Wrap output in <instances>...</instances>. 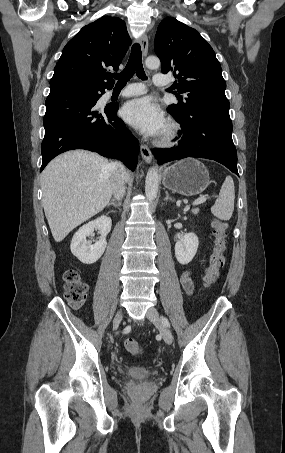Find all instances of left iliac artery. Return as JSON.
<instances>
[{
  "label": "left iliac artery",
  "mask_w": 285,
  "mask_h": 453,
  "mask_svg": "<svg viewBox=\"0 0 285 453\" xmlns=\"http://www.w3.org/2000/svg\"><path fill=\"white\" fill-rule=\"evenodd\" d=\"M161 320H162V323H163L165 326H168V327L170 326L169 321H168L165 317L162 316V317H161Z\"/></svg>",
  "instance_id": "left-iliac-artery-1"
}]
</instances>
